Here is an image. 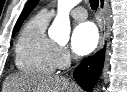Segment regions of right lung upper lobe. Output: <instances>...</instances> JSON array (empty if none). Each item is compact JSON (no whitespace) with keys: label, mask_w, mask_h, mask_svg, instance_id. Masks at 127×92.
<instances>
[{"label":"right lung upper lobe","mask_w":127,"mask_h":92,"mask_svg":"<svg viewBox=\"0 0 127 92\" xmlns=\"http://www.w3.org/2000/svg\"><path fill=\"white\" fill-rule=\"evenodd\" d=\"M35 4H36V1H31L28 4V6L26 7V9H25L24 15L28 14L33 9V7H34ZM20 19H21V17L19 18V20L17 21V23L15 25L13 34H15V32L17 31V29L19 28Z\"/></svg>","instance_id":"1"}]
</instances>
